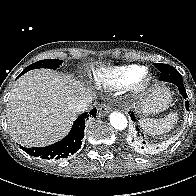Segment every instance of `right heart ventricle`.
<instances>
[{
	"label": "right heart ventricle",
	"mask_w": 196,
	"mask_h": 196,
	"mask_svg": "<svg viewBox=\"0 0 196 196\" xmlns=\"http://www.w3.org/2000/svg\"><path fill=\"white\" fill-rule=\"evenodd\" d=\"M146 68L131 64L124 66L104 67L92 73V80L105 88L120 89L131 85L137 80Z\"/></svg>",
	"instance_id": "obj_1"
}]
</instances>
